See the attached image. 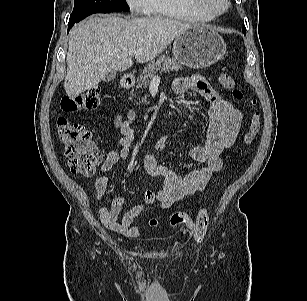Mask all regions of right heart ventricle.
I'll return each instance as SVG.
<instances>
[{"label": "right heart ventricle", "instance_id": "e07e8e85", "mask_svg": "<svg viewBox=\"0 0 307 301\" xmlns=\"http://www.w3.org/2000/svg\"><path fill=\"white\" fill-rule=\"evenodd\" d=\"M148 15L186 22L203 23L215 17L191 8L186 0H150Z\"/></svg>", "mask_w": 307, "mask_h": 301}]
</instances>
